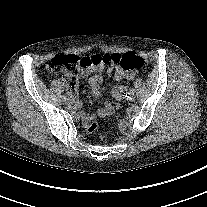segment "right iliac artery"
<instances>
[{
    "mask_svg": "<svg viewBox=\"0 0 207 207\" xmlns=\"http://www.w3.org/2000/svg\"><path fill=\"white\" fill-rule=\"evenodd\" d=\"M62 99H63L64 101H66L67 98H66V96H62Z\"/></svg>",
    "mask_w": 207,
    "mask_h": 207,
    "instance_id": "obj_1",
    "label": "right iliac artery"
}]
</instances>
